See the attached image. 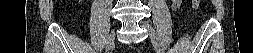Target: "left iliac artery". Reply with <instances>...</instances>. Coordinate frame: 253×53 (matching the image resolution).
I'll return each instance as SVG.
<instances>
[{"mask_svg":"<svg viewBox=\"0 0 253 53\" xmlns=\"http://www.w3.org/2000/svg\"><path fill=\"white\" fill-rule=\"evenodd\" d=\"M155 45H158L157 51L159 53H162V48H161L160 42H155Z\"/></svg>","mask_w":253,"mask_h":53,"instance_id":"1","label":"left iliac artery"}]
</instances>
